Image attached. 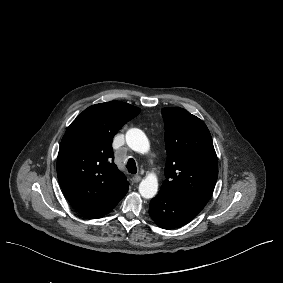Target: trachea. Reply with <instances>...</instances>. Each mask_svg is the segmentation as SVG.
<instances>
[{"instance_id": "1", "label": "trachea", "mask_w": 283, "mask_h": 283, "mask_svg": "<svg viewBox=\"0 0 283 283\" xmlns=\"http://www.w3.org/2000/svg\"><path fill=\"white\" fill-rule=\"evenodd\" d=\"M126 168H127V171L131 174H135L137 172L136 163H135V160L133 158H130L127 161Z\"/></svg>"}]
</instances>
